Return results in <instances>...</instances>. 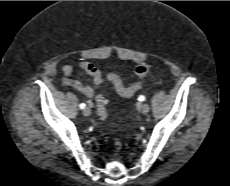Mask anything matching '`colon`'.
<instances>
[{
    "label": "colon",
    "instance_id": "1",
    "mask_svg": "<svg viewBox=\"0 0 230 186\" xmlns=\"http://www.w3.org/2000/svg\"><path fill=\"white\" fill-rule=\"evenodd\" d=\"M151 67L148 64H140L136 66L135 68V74L138 78V81L133 83L131 86H129L125 90H121L120 95L122 97H125V95L134 94L137 92L142 84V80L146 77V75L149 73ZM108 80L115 86H118L120 83V78L116 74H109ZM97 113L101 118H106L108 116V110H107V101L105 98H99L97 101ZM121 141L119 139H116L114 142V151L117 153L121 148Z\"/></svg>",
    "mask_w": 230,
    "mask_h": 186
}]
</instances>
